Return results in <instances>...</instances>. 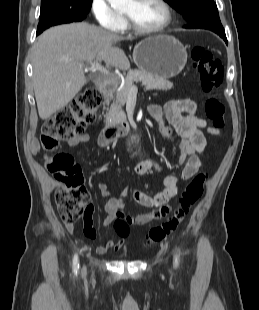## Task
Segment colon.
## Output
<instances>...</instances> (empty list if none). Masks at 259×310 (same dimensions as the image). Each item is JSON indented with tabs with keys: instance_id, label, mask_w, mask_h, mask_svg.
I'll list each match as a JSON object with an SVG mask.
<instances>
[{
	"instance_id": "5ec220e1",
	"label": "colon",
	"mask_w": 259,
	"mask_h": 310,
	"mask_svg": "<svg viewBox=\"0 0 259 310\" xmlns=\"http://www.w3.org/2000/svg\"><path fill=\"white\" fill-rule=\"evenodd\" d=\"M190 54L193 68L198 72L202 89L207 94L205 114L213 128L221 131L225 125V106L214 96V92L220 86L224 75L222 64L213 52L203 46L192 47ZM100 101L98 90L87 88L43 125L42 145L47 151L53 152L47 158L48 168L64 185L56 192L55 200L60 218L66 225H73L81 218L84 219L86 211L92 209L91 196L84 186L81 168L74 158L68 153L56 151L62 141L84 134L86 128L97 120ZM206 178L207 173L199 172L191 179L181 192L173 215L149 230L146 236L148 245L162 241L179 227L202 195ZM113 226L118 236L128 237L130 229L124 219L115 218Z\"/></svg>"
}]
</instances>
